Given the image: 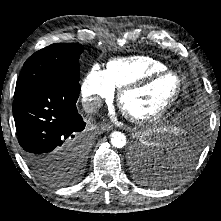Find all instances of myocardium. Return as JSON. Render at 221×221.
Returning <instances> with one entry per match:
<instances>
[{
	"instance_id": "obj_1",
	"label": "myocardium",
	"mask_w": 221,
	"mask_h": 221,
	"mask_svg": "<svg viewBox=\"0 0 221 221\" xmlns=\"http://www.w3.org/2000/svg\"><path fill=\"white\" fill-rule=\"evenodd\" d=\"M164 76H172L176 80V90L171 99L162 108H160L155 113L146 116H137L124 109L123 98L125 97V95H127L130 92L142 89L154 80ZM181 92L182 80L176 72L167 69L163 71H156L146 74L143 77L122 86L117 95V105L122 114L131 122L136 124L151 123L163 118L174 107Z\"/></svg>"
}]
</instances>
